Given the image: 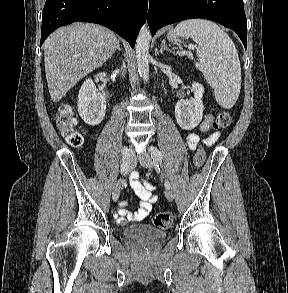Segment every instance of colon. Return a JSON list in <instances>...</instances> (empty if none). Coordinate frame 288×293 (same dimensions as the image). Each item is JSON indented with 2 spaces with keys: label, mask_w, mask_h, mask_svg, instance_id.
<instances>
[{
  "label": "colon",
  "mask_w": 288,
  "mask_h": 293,
  "mask_svg": "<svg viewBox=\"0 0 288 293\" xmlns=\"http://www.w3.org/2000/svg\"><path fill=\"white\" fill-rule=\"evenodd\" d=\"M232 120L233 114L229 111H223L218 114L213 123V128L215 130L226 128L232 123ZM55 124L69 145L76 148L82 146L84 139L82 134L76 129V119L69 107L59 110L55 116ZM205 158V151L200 147L194 154L193 165L196 168L202 167ZM153 222L159 228H168L172 224V216L170 213L160 212L155 215Z\"/></svg>",
  "instance_id": "5ec220e1"
}]
</instances>
